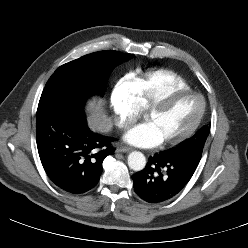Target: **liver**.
<instances>
[{
	"label": "liver",
	"mask_w": 248,
	"mask_h": 248,
	"mask_svg": "<svg viewBox=\"0 0 248 248\" xmlns=\"http://www.w3.org/2000/svg\"><path fill=\"white\" fill-rule=\"evenodd\" d=\"M88 123L93 131L106 132L111 128V121L105 114L102 103L91 102L88 107Z\"/></svg>",
	"instance_id": "liver-1"
}]
</instances>
